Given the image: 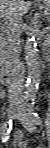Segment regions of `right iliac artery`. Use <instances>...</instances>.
Returning a JSON list of instances; mask_svg holds the SVG:
<instances>
[{
  "instance_id": "right-iliac-artery-1",
  "label": "right iliac artery",
  "mask_w": 50,
  "mask_h": 148,
  "mask_svg": "<svg viewBox=\"0 0 50 148\" xmlns=\"http://www.w3.org/2000/svg\"><path fill=\"white\" fill-rule=\"evenodd\" d=\"M12 128V120L6 121L1 126L2 129V142H5L8 139V134L10 133V130Z\"/></svg>"
}]
</instances>
